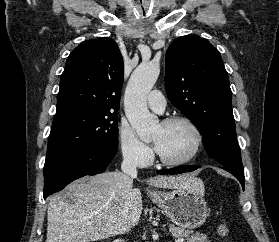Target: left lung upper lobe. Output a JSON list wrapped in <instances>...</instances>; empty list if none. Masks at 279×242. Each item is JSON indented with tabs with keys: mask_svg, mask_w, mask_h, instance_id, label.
I'll return each instance as SVG.
<instances>
[{
	"mask_svg": "<svg viewBox=\"0 0 279 242\" xmlns=\"http://www.w3.org/2000/svg\"><path fill=\"white\" fill-rule=\"evenodd\" d=\"M165 88L171 103L193 121L210 157L244 175L232 112V92L220 52L206 39L182 36L165 57Z\"/></svg>",
	"mask_w": 279,
	"mask_h": 242,
	"instance_id": "1",
	"label": "left lung upper lobe"
}]
</instances>
